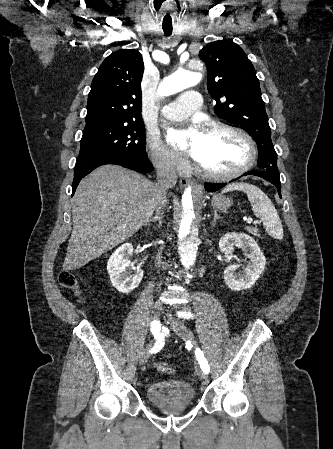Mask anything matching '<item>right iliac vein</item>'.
Listing matches in <instances>:
<instances>
[{
	"label": "right iliac vein",
	"instance_id": "obj_1",
	"mask_svg": "<svg viewBox=\"0 0 333 449\" xmlns=\"http://www.w3.org/2000/svg\"><path fill=\"white\" fill-rule=\"evenodd\" d=\"M162 311V306L158 303H155L152 307V320L154 322H158L159 316ZM153 345V340L146 346V348L141 352L139 357V363L141 365L145 364L150 356V349Z\"/></svg>",
	"mask_w": 333,
	"mask_h": 449
}]
</instances>
